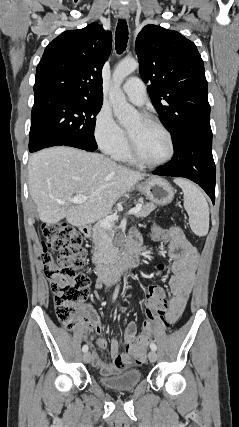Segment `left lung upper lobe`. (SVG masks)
I'll list each match as a JSON object with an SVG mask.
<instances>
[{"mask_svg":"<svg viewBox=\"0 0 239 427\" xmlns=\"http://www.w3.org/2000/svg\"><path fill=\"white\" fill-rule=\"evenodd\" d=\"M140 75L173 145L190 132H211L208 84L196 45L180 33L146 25L138 34Z\"/></svg>","mask_w":239,"mask_h":427,"instance_id":"5c2ea615","label":"left lung upper lobe"}]
</instances>
